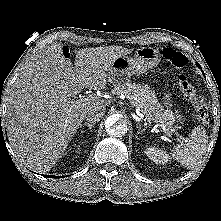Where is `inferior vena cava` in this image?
<instances>
[{"label":"inferior vena cava","mask_w":221,"mask_h":221,"mask_svg":"<svg viewBox=\"0 0 221 221\" xmlns=\"http://www.w3.org/2000/svg\"><path fill=\"white\" fill-rule=\"evenodd\" d=\"M105 113V109L92 108L85 115V119L90 123L99 122Z\"/></svg>","instance_id":"1"}]
</instances>
